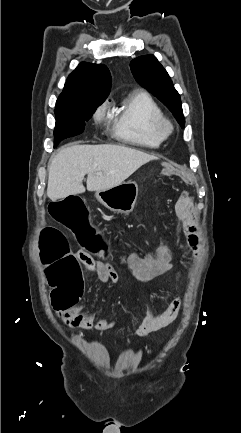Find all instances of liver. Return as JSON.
Segmentation results:
<instances>
[{
	"label": "liver",
	"instance_id": "obj_1",
	"mask_svg": "<svg viewBox=\"0 0 241 433\" xmlns=\"http://www.w3.org/2000/svg\"><path fill=\"white\" fill-rule=\"evenodd\" d=\"M157 157L117 145H73L62 147L48 166L47 196L51 200L120 185L142 165ZM100 173V174H96Z\"/></svg>",
	"mask_w": 241,
	"mask_h": 433
}]
</instances>
